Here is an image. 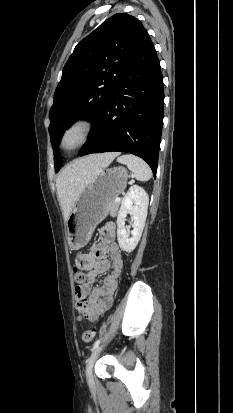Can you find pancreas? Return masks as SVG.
<instances>
[{"mask_svg": "<svg viewBox=\"0 0 233 413\" xmlns=\"http://www.w3.org/2000/svg\"><path fill=\"white\" fill-rule=\"evenodd\" d=\"M119 205H120V203H119V202H115V200L111 202L109 211H110V215H111L112 217H115V216L117 215V211H118V209H119Z\"/></svg>", "mask_w": 233, "mask_h": 413, "instance_id": "obj_1", "label": "pancreas"}]
</instances>
